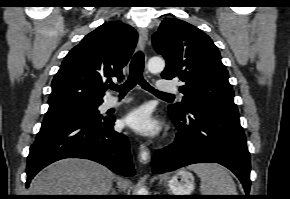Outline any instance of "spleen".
<instances>
[{
	"mask_svg": "<svg viewBox=\"0 0 290 199\" xmlns=\"http://www.w3.org/2000/svg\"><path fill=\"white\" fill-rule=\"evenodd\" d=\"M188 169L195 172L200 178V192L202 195H237L232 177L219 164H193Z\"/></svg>",
	"mask_w": 290,
	"mask_h": 199,
	"instance_id": "obj_1",
	"label": "spleen"
}]
</instances>
